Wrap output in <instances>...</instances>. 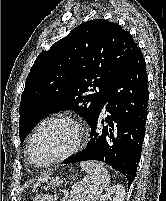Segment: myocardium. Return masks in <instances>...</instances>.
Segmentation results:
<instances>
[{"label":"myocardium","mask_w":166,"mask_h":201,"mask_svg":"<svg viewBox=\"0 0 166 201\" xmlns=\"http://www.w3.org/2000/svg\"><path fill=\"white\" fill-rule=\"evenodd\" d=\"M57 121L69 123V124L73 125L76 128L77 138H76V142H75L74 146L70 150H68L67 152H65V153H63V154H61V155H59V156H57L55 158H52L51 160H49V161H47V162H45L43 164L34 163L33 160H32L31 152H32V146H33V142H34V139H35L36 135L38 134L39 130L42 127H44L48 123L57 122ZM85 136H86V133H85L84 125L82 123H80L78 120H76V119H74L72 117L65 116V115H56V116L46 118L43 121H41L35 127V129L33 130L32 134L30 136L28 146H27L28 160H29L30 164H32L33 166H36V167H48V166H51L53 164L59 163L61 161H64V160L70 158L71 156H73L74 154H76L81 149V147L83 145V142L85 140Z\"/></svg>","instance_id":"f54148a6"}]
</instances>
